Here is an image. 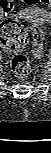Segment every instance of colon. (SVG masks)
<instances>
[{
    "label": "colon",
    "mask_w": 51,
    "mask_h": 153,
    "mask_svg": "<svg viewBox=\"0 0 51 153\" xmlns=\"http://www.w3.org/2000/svg\"><path fill=\"white\" fill-rule=\"evenodd\" d=\"M29 5L50 4V0H24ZM45 34L39 25L33 26V55L40 57L43 52ZM1 44L5 50L18 53L27 42V31L23 25L15 19H6L1 24ZM11 70L13 74L21 79L27 78L31 72L28 57L16 54L12 57Z\"/></svg>",
    "instance_id": "obj_1"
}]
</instances>
